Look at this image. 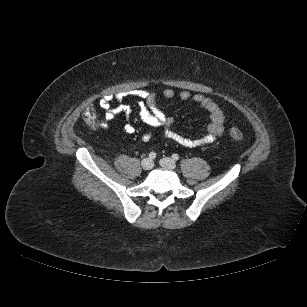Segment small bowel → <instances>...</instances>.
<instances>
[{"label": "small bowel", "mask_w": 307, "mask_h": 307, "mask_svg": "<svg viewBox=\"0 0 307 307\" xmlns=\"http://www.w3.org/2000/svg\"><path fill=\"white\" fill-rule=\"evenodd\" d=\"M163 97L173 98L175 92L172 89H166L162 92ZM137 96L140 97L138 102L139 115L141 120L148 126L161 128L165 137L175 141L185 147H205L213 143L224 131V115L219 106L210 98L201 94L191 95L187 90L179 93V98L183 101L192 99L209 115V123L206 126L205 132L198 138H188L173 129L174 120L167 116L157 106V95L150 91H139ZM112 96H105L99 100V106L104 110V120L99 123V127L107 128L109 122L114 120L116 115L124 113L127 116L130 114L129 107L120 105L112 107ZM128 134H133L135 128L131 123H127L124 127Z\"/></svg>", "instance_id": "c3829d8e"}]
</instances>
